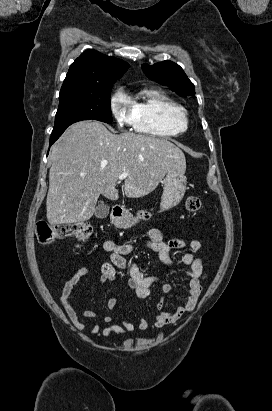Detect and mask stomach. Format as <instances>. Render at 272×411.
<instances>
[{
  "mask_svg": "<svg viewBox=\"0 0 272 411\" xmlns=\"http://www.w3.org/2000/svg\"><path fill=\"white\" fill-rule=\"evenodd\" d=\"M163 182L164 187L160 208L162 211H165L177 206L183 199L186 191V178L183 173L171 169L166 173ZM138 221V218L128 211H124L120 216L112 218L113 224L120 229L131 228Z\"/></svg>",
  "mask_w": 272,
  "mask_h": 411,
  "instance_id": "stomach-1",
  "label": "stomach"
}]
</instances>
